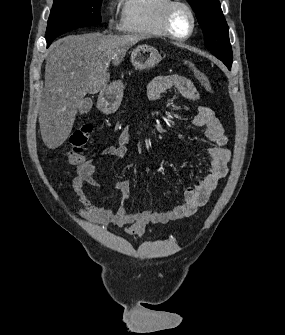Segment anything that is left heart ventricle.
<instances>
[{"label":"left heart ventricle","mask_w":285,"mask_h":335,"mask_svg":"<svg viewBox=\"0 0 285 335\" xmlns=\"http://www.w3.org/2000/svg\"><path fill=\"white\" fill-rule=\"evenodd\" d=\"M178 22H180L181 21V19L180 18H178V20H177Z\"/></svg>","instance_id":"1"}]
</instances>
